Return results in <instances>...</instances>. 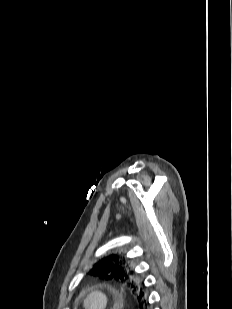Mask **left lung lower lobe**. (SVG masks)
Instances as JSON below:
<instances>
[{"label":"left lung lower lobe","instance_id":"1","mask_svg":"<svg viewBox=\"0 0 232 309\" xmlns=\"http://www.w3.org/2000/svg\"><path fill=\"white\" fill-rule=\"evenodd\" d=\"M139 307H140L141 309H147L148 304H147V302H142V303L139 304Z\"/></svg>","mask_w":232,"mask_h":309}]
</instances>
